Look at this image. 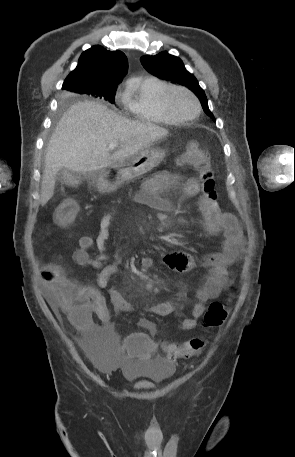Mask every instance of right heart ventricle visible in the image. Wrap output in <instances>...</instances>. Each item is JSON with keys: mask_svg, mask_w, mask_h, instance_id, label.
Listing matches in <instances>:
<instances>
[{"mask_svg": "<svg viewBox=\"0 0 295 457\" xmlns=\"http://www.w3.org/2000/svg\"><path fill=\"white\" fill-rule=\"evenodd\" d=\"M169 83L156 78L146 77L131 81L123 95V104L127 112L135 119L156 124H174L173 119L164 109L161 95Z\"/></svg>", "mask_w": 295, "mask_h": 457, "instance_id": "right-heart-ventricle-1", "label": "right heart ventricle"}]
</instances>
